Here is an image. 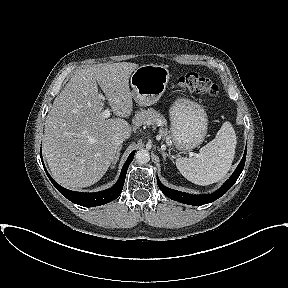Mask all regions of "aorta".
<instances>
[{"label": "aorta", "instance_id": "762f6f07", "mask_svg": "<svg viewBox=\"0 0 288 288\" xmlns=\"http://www.w3.org/2000/svg\"><path fill=\"white\" fill-rule=\"evenodd\" d=\"M135 159L139 164H146L150 161V154L147 150H139L135 154Z\"/></svg>", "mask_w": 288, "mask_h": 288}]
</instances>
